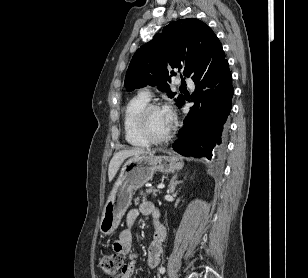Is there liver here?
Segmentation results:
<instances>
[{
    "label": "liver",
    "mask_w": 308,
    "mask_h": 278,
    "mask_svg": "<svg viewBox=\"0 0 308 278\" xmlns=\"http://www.w3.org/2000/svg\"><path fill=\"white\" fill-rule=\"evenodd\" d=\"M154 152L144 150L141 148H134L130 150H121L114 154L113 158L111 159L109 163V168H108V178L109 182L113 180L115 177L116 173L119 170V167L123 163V161L132 156H140V155H148V154H153Z\"/></svg>",
    "instance_id": "6515ba94"
}]
</instances>
